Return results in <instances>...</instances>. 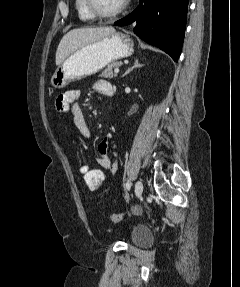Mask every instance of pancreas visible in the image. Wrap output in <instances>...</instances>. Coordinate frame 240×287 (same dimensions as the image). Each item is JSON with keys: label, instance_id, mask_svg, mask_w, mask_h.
I'll return each mask as SVG.
<instances>
[{"label": "pancreas", "instance_id": "cf45deb5", "mask_svg": "<svg viewBox=\"0 0 240 287\" xmlns=\"http://www.w3.org/2000/svg\"><path fill=\"white\" fill-rule=\"evenodd\" d=\"M122 65L121 61H116L114 63L109 64L105 70L101 73V77L112 79L116 77L117 73L113 72L116 68H119Z\"/></svg>", "mask_w": 240, "mask_h": 287}]
</instances>
